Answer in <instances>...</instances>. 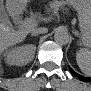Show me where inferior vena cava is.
<instances>
[{
    "label": "inferior vena cava",
    "mask_w": 91,
    "mask_h": 91,
    "mask_svg": "<svg viewBox=\"0 0 91 91\" xmlns=\"http://www.w3.org/2000/svg\"><path fill=\"white\" fill-rule=\"evenodd\" d=\"M48 31L47 28H33L31 30V33L34 34V35H38V34H41V33H46Z\"/></svg>",
    "instance_id": "obj_1"
}]
</instances>
